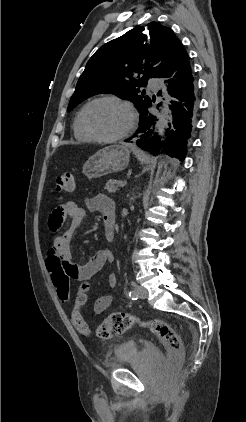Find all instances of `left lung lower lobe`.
<instances>
[{
    "mask_svg": "<svg viewBox=\"0 0 246 422\" xmlns=\"http://www.w3.org/2000/svg\"><path fill=\"white\" fill-rule=\"evenodd\" d=\"M162 78H167V90L173 97L170 109L173 119L167 131V137L159 145L157 134H153L151 127L156 122V117L148 111L150 105L140 114L139 131L142 133L137 144L143 150L156 155L160 149L166 151L171 157L183 161L186 156L187 143L194 130V120L197 112V94L195 80L192 75L190 58L181 45L176 56L168 66ZM130 139L125 140L129 142Z\"/></svg>",
    "mask_w": 246,
    "mask_h": 422,
    "instance_id": "0a47b994",
    "label": "left lung lower lobe"
}]
</instances>
